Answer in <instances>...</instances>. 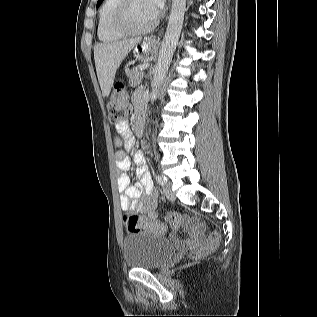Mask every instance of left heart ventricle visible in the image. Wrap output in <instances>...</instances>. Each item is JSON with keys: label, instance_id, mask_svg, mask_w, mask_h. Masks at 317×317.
<instances>
[{"label": "left heart ventricle", "instance_id": "left-heart-ventricle-1", "mask_svg": "<svg viewBox=\"0 0 317 317\" xmlns=\"http://www.w3.org/2000/svg\"><path fill=\"white\" fill-rule=\"evenodd\" d=\"M156 14L148 0H132L128 11V23L134 28H143L149 25Z\"/></svg>", "mask_w": 317, "mask_h": 317}]
</instances>
